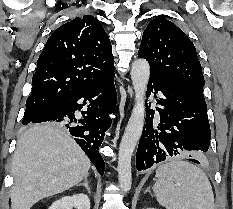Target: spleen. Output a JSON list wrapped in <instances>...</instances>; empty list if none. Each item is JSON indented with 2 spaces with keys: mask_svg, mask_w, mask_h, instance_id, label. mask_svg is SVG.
<instances>
[{
  "mask_svg": "<svg viewBox=\"0 0 233 209\" xmlns=\"http://www.w3.org/2000/svg\"><path fill=\"white\" fill-rule=\"evenodd\" d=\"M153 190L166 209H215L212 186L204 171L182 160H170L156 170Z\"/></svg>",
  "mask_w": 233,
  "mask_h": 209,
  "instance_id": "obj_1",
  "label": "spleen"
}]
</instances>
